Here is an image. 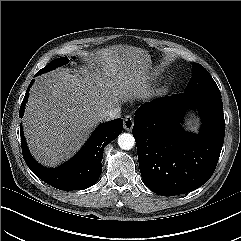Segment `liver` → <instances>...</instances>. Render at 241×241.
I'll return each instance as SVG.
<instances>
[{
    "label": "liver",
    "instance_id": "liver-1",
    "mask_svg": "<svg viewBox=\"0 0 241 241\" xmlns=\"http://www.w3.org/2000/svg\"><path fill=\"white\" fill-rule=\"evenodd\" d=\"M97 66L71 74L57 69L36 79L23 117L29 149L54 167L80 149L100 114L150 94L151 57L144 49L113 45L96 52Z\"/></svg>",
    "mask_w": 241,
    "mask_h": 241
}]
</instances>
